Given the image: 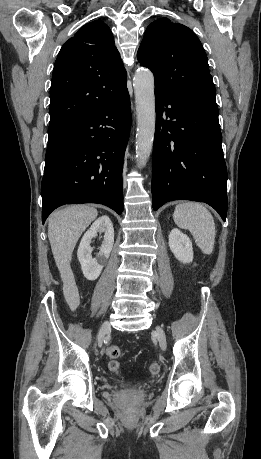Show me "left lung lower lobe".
Returning <instances> with one entry per match:
<instances>
[{
    "label": "left lung lower lobe",
    "instance_id": "left-lung-lower-lobe-1",
    "mask_svg": "<svg viewBox=\"0 0 261 459\" xmlns=\"http://www.w3.org/2000/svg\"><path fill=\"white\" fill-rule=\"evenodd\" d=\"M155 108L154 210L172 200L199 201L212 206L225 221L227 170L217 105L155 89Z\"/></svg>",
    "mask_w": 261,
    "mask_h": 459
}]
</instances>
